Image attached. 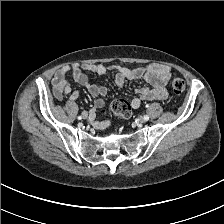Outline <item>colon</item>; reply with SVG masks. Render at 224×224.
<instances>
[{
    "label": "colon",
    "mask_w": 224,
    "mask_h": 224,
    "mask_svg": "<svg viewBox=\"0 0 224 224\" xmlns=\"http://www.w3.org/2000/svg\"><path fill=\"white\" fill-rule=\"evenodd\" d=\"M171 87L175 94H182L185 91L186 84L182 78L174 77L171 80ZM111 112L121 118H129L131 114L130 105L122 99L114 100L111 104ZM102 113L106 114L107 112L102 110Z\"/></svg>",
    "instance_id": "5ec220e1"
}]
</instances>
